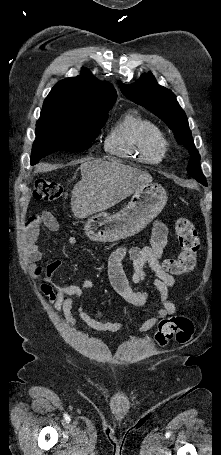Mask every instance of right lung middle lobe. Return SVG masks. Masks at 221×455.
Wrapping results in <instances>:
<instances>
[{
	"instance_id": "dd1d6c3e",
	"label": "right lung middle lobe",
	"mask_w": 221,
	"mask_h": 455,
	"mask_svg": "<svg viewBox=\"0 0 221 455\" xmlns=\"http://www.w3.org/2000/svg\"><path fill=\"white\" fill-rule=\"evenodd\" d=\"M109 110L82 118L41 112L36 125L31 164L59 150L82 152L88 149L104 126Z\"/></svg>"
}]
</instances>
